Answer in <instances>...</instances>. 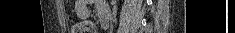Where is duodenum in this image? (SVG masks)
I'll return each mask as SVG.
<instances>
[{
	"instance_id": "duodenum-1",
	"label": "duodenum",
	"mask_w": 235,
	"mask_h": 33,
	"mask_svg": "<svg viewBox=\"0 0 235 33\" xmlns=\"http://www.w3.org/2000/svg\"><path fill=\"white\" fill-rule=\"evenodd\" d=\"M108 21H109V19H108L107 14H102V15L100 16V22H101V25H102L104 28L107 27Z\"/></svg>"
}]
</instances>
